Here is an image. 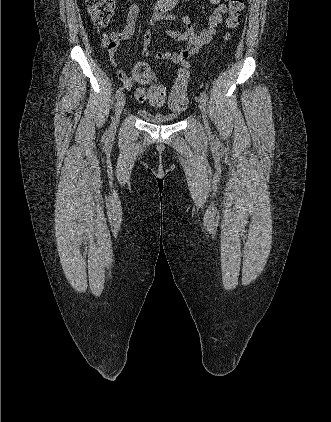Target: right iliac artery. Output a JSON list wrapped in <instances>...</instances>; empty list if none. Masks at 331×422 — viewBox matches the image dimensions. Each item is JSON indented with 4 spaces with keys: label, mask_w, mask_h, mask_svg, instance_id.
I'll list each match as a JSON object with an SVG mask.
<instances>
[{
    "label": "right iliac artery",
    "mask_w": 331,
    "mask_h": 422,
    "mask_svg": "<svg viewBox=\"0 0 331 422\" xmlns=\"http://www.w3.org/2000/svg\"><path fill=\"white\" fill-rule=\"evenodd\" d=\"M123 93V87H120L116 92V99Z\"/></svg>",
    "instance_id": "right-iliac-artery-1"
}]
</instances>
